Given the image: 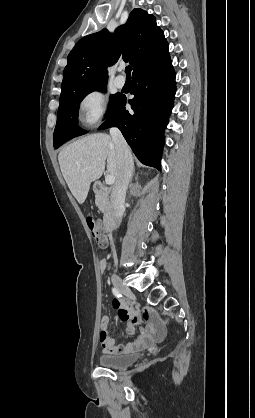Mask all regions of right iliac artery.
<instances>
[{"label": "right iliac artery", "instance_id": "right-iliac-artery-1", "mask_svg": "<svg viewBox=\"0 0 255 418\" xmlns=\"http://www.w3.org/2000/svg\"><path fill=\"white\" fill-rule=\"evenodd\" d=\"M112 293L117 298H120L121 297V294H120V292H119V290L117 288H112Z\"/></svg>", "mask_w": 255, "mask_h": 418}]
</instances>
